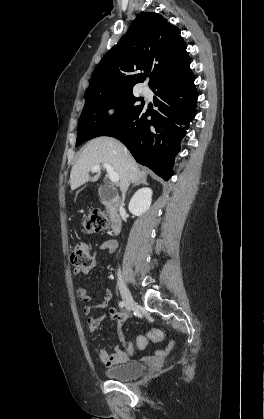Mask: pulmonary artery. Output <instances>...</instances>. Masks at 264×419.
I'll return each mask as SVG.
<instances>
[{
  "label": "pulmonary artery",
  "instance_id": "1",
  "mask_svg": "<svg viewBox=\"0 0 264 419\" xmlns=\"http://www.w3.org/2000/svg\"><path fill=\"white\" fill-rule=\"evenodd\" d=\"M143 94H148L149 93V89L147 87H142L141 89Z\"/></svg>",
  "mask_w": 264,
  "mask_h": 419
}]
</instances>
